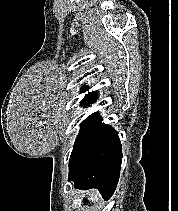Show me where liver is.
<instances>
[{
	"instance_id": "6515ba94",
	"label": "liver",
	"mask_w": 178,
	"mask_h": 211,
	"mask_svg": "<svg viewBox=\"0 0 178 211\" xmlns=\"http://www.w3.org/2000/svg\"><path fill=\"white\" fill-rule=\"evenodd\" d=\"M101 199L98 191L92 190L89 192L88 200L91 202H98Z\"/></svg>"
}]
</instances>
